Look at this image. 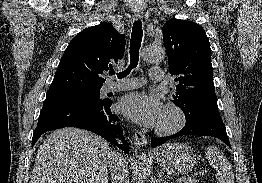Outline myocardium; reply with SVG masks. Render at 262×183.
Listing matches in <instances>:
<instances>
[{"mask_svg":"<svg viewBox=\"0 0 262 183\" xmlns=\"http://www.w3.org/2000/svg\"><path fill=\"white\" fill-rule=\"evenodd\" d=\"M165 111H170L175 116V122L169 127H157L155 132L159 136H169L180 131L186 123V115L183 109L175 103H167L164 106Z\"/></svg>","mask_w":262,"mask_h":183,"instance_id":"myocardium-1","label":"myocardium"}]
</instances>
